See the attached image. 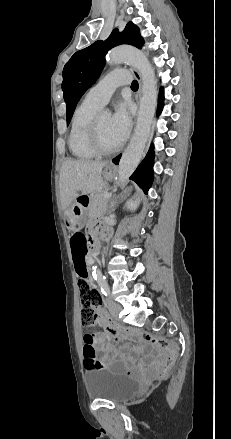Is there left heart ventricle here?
I'll return each mask as SVG.
<instances>
[{"label": "left heart ventricle", "mask_w": 231, "mask_h": 439, "mask_svg": "<svg viewBox=\"0 0 231 439\" xmlns=\"http://www.w3.org/2000/svg\"><path fill=\"white\" fill-rule=\"evenodd\" d=\"M111 117L108 114H99V134L100 140L104 147L112 148L117 146L111 131Z\"/></svg>", "instance_id": "left-heart-ventricle-1"}]
</instances>
